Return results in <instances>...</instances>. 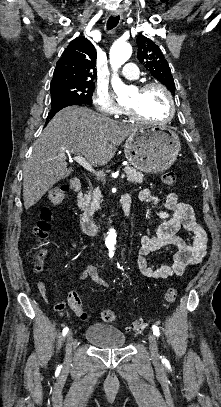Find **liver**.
Instances as JSON below:
<instances>
[{
	"instance_id": "obj_1",
	"label": "liver",
	"mask_w": 221,
	"mask_h": 407,
	"mask_svg": "<svg viewBox=\"0 0 221 407\" xmlns=\"http://www.w3.org/2000/svg\"><path fill=\"white\" fill-rule=\"evenodd\" d=\"M138 127L71 106L59 111L33 146L23 169V200L28 210L57 182L68 177L67 155L84 156L94 166L107 164L117 147Z\"/></svg>"
}]
</instances>
